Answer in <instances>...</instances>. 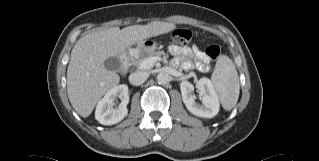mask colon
<instances>
[{
	"label": "colon",
	"instance_id": "1",
	"mask_svg": "<svg viewBox=\"0 0 319 161\" xmlns=\"http://www.w3.org/2000/svg\"><path fill=\"white\" fill-rule=\"evenodd\" d=\"M193 33L189 29H178L173 32V40L176 43L185 44L191 41ZM205 55L211 59L215 60L220 55V47L216 44L208 45L204 50Z\"/></svg>",
	"mask_w": 319,
	"mask_h": 161
}]
</instances>
